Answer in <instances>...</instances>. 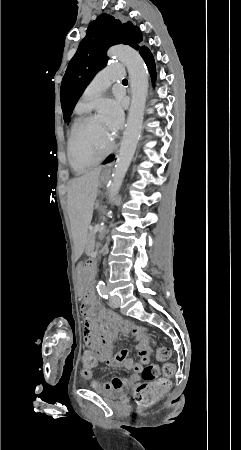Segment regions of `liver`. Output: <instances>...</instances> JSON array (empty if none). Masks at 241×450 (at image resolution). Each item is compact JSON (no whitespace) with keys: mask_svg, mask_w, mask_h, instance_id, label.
I'll return each mask as SVG.
<instances>
[{"mask_svg":"<svg viewBox=\"0 0 241 450\" xmlns=\"http://www.w3.org/2000/svg\"><path fill=\"white\" fill-rule=\"evenodd\" d=\"M100 172L102 168H95L93 172L72 180L68 190V208L72 224L76 220L78 224L89 226L100 186Z\"/></svg>","mask_w":241,"mask_h":450,"instance_id":"obj_1","label":"liver"}]
</instances>
